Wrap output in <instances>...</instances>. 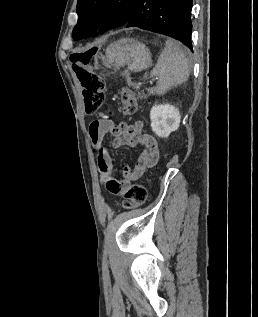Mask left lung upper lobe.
I'll return each instance as SVG.
<instances>
[{"label": "left lung upper lobe", "instance_id": "obj_1", "mask_svg": "<svg viewBox=\"0 0 258 317\" xmlns=\"http://www.w3.org/2000/svg\"><path fill=\"white\" fill-rule=\"evenodd\" d=\"M136 0H78V22L73 29L75 40L82 39L99 27L112 29L124 25Z\"/></svg>", "mask_w": 258, "mask_h": 317}]
</instances>
